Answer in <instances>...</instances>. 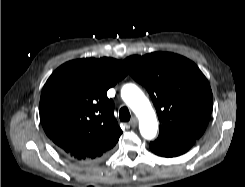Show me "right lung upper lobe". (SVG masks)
I'll return each instance as SVG.
<instances>
[{
  "instance_id": "obj_1",
  "label": "right lung upper lobe",
  "mask_w": 245,
  "mask_h": 187,
  "mask_svg": "<svg viewBox=\"0 0 245 187\" xmlns=\"http://www.w3.org/2000/svg\"><path fill=\"white\" fill-rule=\"evenodd\" d=\"M127 74L120 61L104 57L69 61L49 77L40 119L46 135L68 158L93 163L111 153L122 130L106 93Z\"/></svg>"
}]
</instances>
